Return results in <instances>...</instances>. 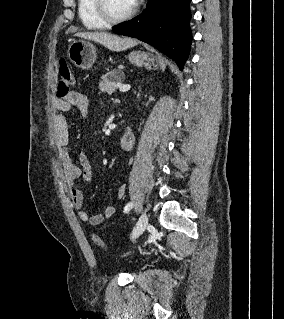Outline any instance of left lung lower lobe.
<instances>
[{
    "instance_id": "left-lung-lower-lobe-1",
    "label": "left lung lower lobe",
    "mask_w": 284,
    "mask_h": 319,
    "mask_svg": "<svg viewBox=\"0 0 284 319\" xmlns=\"http://www.w3.org/2000/svg\"><path fill=\"white\" fill-rule=\"evenodd\" d=\"M190 1L149 0L142 14L115 26L113 31L148 43L183 69L192 40Z\"/></svg>"
}]
</instances>
